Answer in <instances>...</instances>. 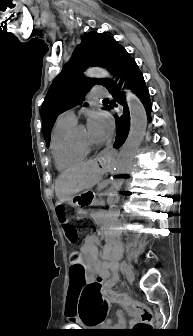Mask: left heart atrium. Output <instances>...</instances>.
<instances>
[{
	"label": "left heart atrium",
	"instance_id": "39dd6f15",
	"mask_svg": "<svg viewBox=\"0 0 193 336\" xmlns=\"http://www.w3.org/2000/svg\"><path fill=\"white\" fill-rule=\"evenodd\" d=\"M112 127V119L107 113L99 111L90 114L87 131L95 143L106 140L112 131Z\"/></svg>",
	"mask_w": 193,
	"mask_h": 336
}]
</instances>
